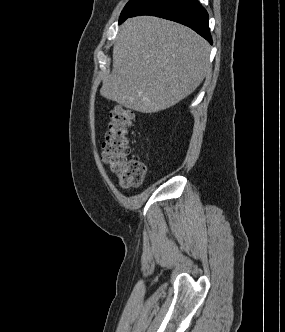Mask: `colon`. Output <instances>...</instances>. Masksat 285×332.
Here are the masks:
<instances>
[{"mask_svg":"<svg viewBox=\"0 0 285 332\" xmlns=\"http://www.w3.org/2000/svg\"><path fill=\"white\" fill-rule=\"evenodd\" d=\"M135 121L132 110L116 106L110 112L105 141L102 145V160L118 178L122 187L140 185L146 175V165L130 157L129 131Z\"/></svg>","mask_w":285,"mask_h":332,"instance_id":"obj_1","label":"colon"}]
</instances>
